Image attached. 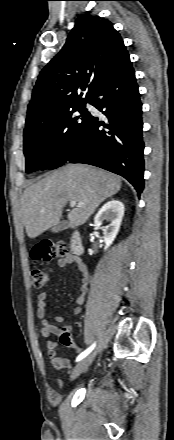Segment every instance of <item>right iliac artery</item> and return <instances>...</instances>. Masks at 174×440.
<instances>
[{"instance_id": "82829eb1", "label": "right iliac artery", "mask_w": 174, "mask_h": 440, "mask_svg": "<svg viewBox=\"0 0 174 440\" xmlns=\"http://www.w3.org/2000/svg\"><path fill=\"white\" fill-rule=\"evenodd\" d=\"M95 343L92 345V346H90L88 349H86L85 351H83L77 358H76V361L78 362V361H80V360H82L83 358H85L93 349H94V347H95Z\"/></svg>"}]
</instances>
